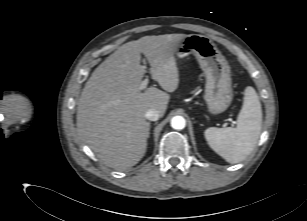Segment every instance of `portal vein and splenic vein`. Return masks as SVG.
Here are the masks:
<instances>
[{"label": "portal vein and splenic vein", "mask_w": 307, "mask_h": 221, "mask_svg": "<svg viewBox=\"0 0 307 221\" xmlns=\"http://www.w3.org/2000/svg\"><path fill=\"white\" fill-rule=\"evenodd\" d=\"M147 84H148V78L144 79V80L141 82V84H140V86H139V89H140L141 91L144 90V89L146 88Z\"/></svg>", "instance_id": "18ae733b"}]
</instances>
